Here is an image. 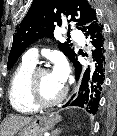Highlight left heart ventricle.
<instances>
[{"label":"left heart ventricle","mask_w":117,"mask_h":136,"mask_svg":"<svg viewBox=\"0 0 117 136\" xmlns=\"http://www.w3.org/2000/svg\"><path fill=\"white\" fill-rule=\"evenodd\" d=\"M39 95L43 101L56 99L62 92L64 85L60 83L52 74L45 72L38 79Z\"/></svg>","instance_id":"left-heart-ventricle-1"}]
</instances>
